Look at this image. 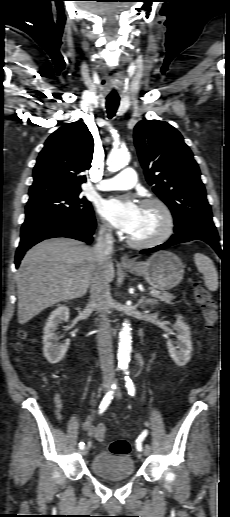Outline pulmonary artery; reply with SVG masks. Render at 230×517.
<instances>
[{"label": "pulmonary artery", "mask_w": 230, "mask_h": 517, "mask_svg": "<svg viewBox=\"0 0 230 517\" xmlns=\"http://www.w3.org/2000/svg\"><path fill=\"white\" fill-rule=\"evenodd\" d=\"M136 173L132 168H126L119 174L103 180L97 188L103 191L128 190L135 186Z\"/></svg>", "instance_id": "e3ab8cb5"}]
</instances>
